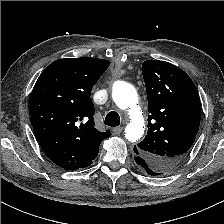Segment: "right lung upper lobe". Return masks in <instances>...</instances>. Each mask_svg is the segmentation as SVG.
Listing matches in <instances>:
<instances>
[{
	"mask_svg": "<svg viewBox=\"0 0 224 224\" xmlns=\"http://www.w3.org/2000/svg\"><path fill=\"white\" fill-rule=\"evenodd\" d=\"M110 61L65 58L52 62L39 76L30 100L33 130L44 153L58 166L77 170L92 164L109 131L94 127V84Z\"/></svg>",
	"mask_w": 224,
	"mask_h": 224,
	"instance_id": "right-lung-upper-lobe-1",
	"label": "right lung upper lobe"
}]
</instances>
